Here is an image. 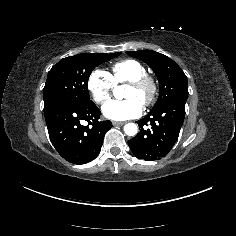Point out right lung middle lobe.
<instances>
[{"mask_svg":"<svg viewBox=\"0 0 236 236\" xmlns=\"http://www.w3.org/2000/svg\"><path fill=\"white\" fill-rule=\"evenodd\" d=\"M120 54L121 52L82 53L61 59L48 73L43 89L44 106L57 101L76 105L90 104L92 101L87 84L91 72L95 67Z\"/></svg>","mask_w":236,"mask_h":236,"instance_id":"obj_1","label":"right lung middle lobe"}]
</instances>
